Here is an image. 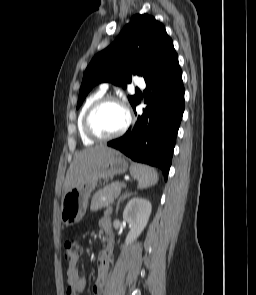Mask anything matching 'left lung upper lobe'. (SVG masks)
Wrapping results in <instances>:
<instances>
[{
  "mask_svg": "<svg viewBox=\"0 0 256 295\" xmlns=\"http://www.w3.org/2000/svg\"><path fill=\"white\" fill-rule=\"evenodd\" d=\"M177 61L173 41L164 25L148 14L134 15L116 40L98 53L86 68L77 108L98 83L121 85L130 82L132 75L143 76L148 81L157 78ZM128 99L132 106L139 101L137 96Z\"/></svg>",
  "mask_w": 256,
  "mask_h": 295,
  "instance_id": "left-lung-upper-lobe-1",
  "label": "left lung upper lobe"
}]
</instances>
